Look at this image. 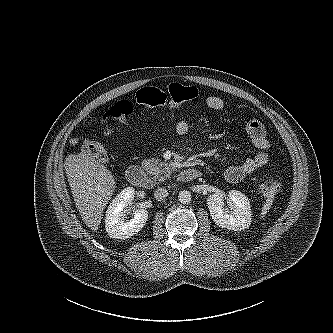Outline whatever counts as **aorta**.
Returning a JSON list of instances; mask_svg holds the SVG:
<instances>
[{
    "label": "aorta",
    "mask_w": 333,
    "mask_h": 333,
    "mask_svg": "<svg viewBox=\"0 0 333 333\" xmlns=\"http://www.w3.org/2000/svg\"><path fill=\"white\" fill-rule=\"evenodd\" d=\"M178 198H179V201L182 203V204H188L191 202V193L187 190H183V191H180L179 192V195H178Z\"/></svg>",
    "instance_id": "762f6f07"
}]
</instances>
